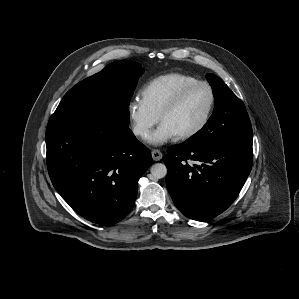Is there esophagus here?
Instances as JSON below:
<instances>
[{"instance_id":"obj_1","label":"esophagus","mask_w":299,"mask_h":299,"mask_svg":"<svg viewBox=\"0 0 299 299\" xmlns=\"http://www.w3.org/2000/svg\"><path fill=\"white\" fill-rule=\"evenodd\" d=\"M151 154H152V158H153L154 161H159L163 157L162 152L160 150H157V149L152 150Z\"/></svg>"}]
</instances>
